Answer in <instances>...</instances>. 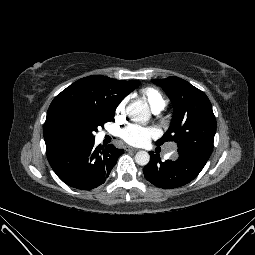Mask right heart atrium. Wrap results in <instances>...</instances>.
I'll return each mask as SVG.
<instances>
[{"mask_svg":"<svg viewBox=\"0 0 255 255\" xmlns=\"http://www.w3.org/2000/svg\"><path fill=\"white\" fill-rule=\"evenodd\" d=\"M124 108H125V101H122L118 104L116 108V113L121 114L124 111Z\"/></svg>","mask_w":255,"mask_h":255,"instance_id":"obj_1","label":"right heart atrium"}]
</instances>
